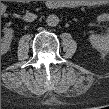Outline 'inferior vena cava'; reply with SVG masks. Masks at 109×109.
I'll use <instances>...</instances> for the list:
<instances>
[{
  "label": "inferior vena cava",
  "instance_id": "obj_1",
  "mask_svg": "<svg viewBox=\"0 0 109 109\" xmlns=\"http://www.w3.org/2000/svg\"><path fill=\"white\" fill-rule=\"evenodd\" d=\"M37 18V15L36 14H33V13H29L27 12L23 19L26 21V22H32L34 21L35 19Z\"/></svg>",
  "mask_w": 109,
  "mask_h": 109
}]
</instances>
